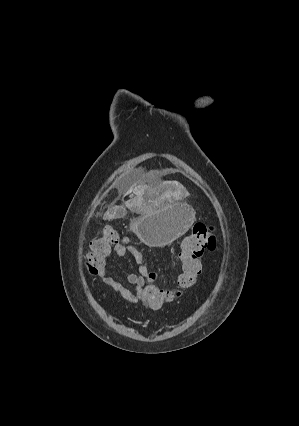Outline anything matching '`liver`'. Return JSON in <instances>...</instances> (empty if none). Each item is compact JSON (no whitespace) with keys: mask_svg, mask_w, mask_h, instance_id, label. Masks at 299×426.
Here are the masks:
<instances>
[{"mask_svg":"<svg viewBox=\"0 0 299 426\" xmlns=\"http://www.w3.org/2000/svg\"><path fill=\"white\" fill-rule=\"evenodd\" d=\"M119 192L123 195V198L131 192H134L136 194V198L125 202V206L128 208L137 206L140 210H144L145 208L156 204L157 201L154 200L153 195L158 196L160 193V188H153L148 190V187L144 184H132L128 188H120ZM164 195L165 197H168L169 192L166 191ZM125 214L126 209L124 206H113L109 208L104 214V219H115Z\"/></svg>","mask_w":299,"mask_h":426,"instance_id":"1","label":"liver"}]
</instances>
